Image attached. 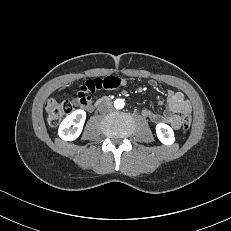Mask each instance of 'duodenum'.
Segmentation results:
<instances>
[{
    "label": "duodenum",
    "instance_id": "duodenum-1",
    "mask_svg": "<svg viewBox=\"0 0 231 231\" xmlns=\"http://www.w3.org/2000/svg\"><path fill=\"white\" fill-rule=\"evenodd\" d=\"M107 101L106 97L101 98L100 100H98L97 104H101Z\"/></svg>",
    "mask_w": 231,
    "mask_h": 231
}]
</instances>
